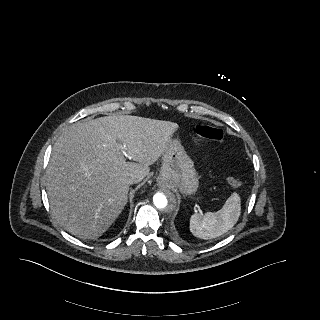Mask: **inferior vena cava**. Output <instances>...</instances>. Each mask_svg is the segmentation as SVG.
<instances>
[{
    "mask_svg": "<svg viewBox=\"0 0 320 320\" xmlns=\"http://www.w3.org/2000/svg\"><path fill=\"white\" fill-rule=\"evenodd\" d=\"M127 182H128L129 184H133V183H135V179H134L133 177H129V178L127 179Z\"/></svg>",
    "mask_w": 320,
    "mask_h": 320,
    "instance_id": "1",
    "label": "inferior vena cava"
}]
</instances>
